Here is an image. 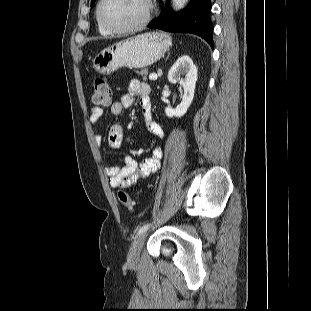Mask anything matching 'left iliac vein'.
Segmentation results:
<instances>
[{
	"label": "left iliac vein",
	"mask_w": 311,
	"mask_h": 311,
	"mask_svg": "<svg viewBox=\"0 0 311 311\" xmlns=\"http://www.w3.org/2000/svg\"><path fill=\"white\" fill-rule=\"evenodd\" d=\"M147 234L144 232L140 234L136 240L132 243L128 252V261L130 263H137L140 259V253L145 243Z\"/></svg>",
	"instance_id": "1"
}]
</instances>
